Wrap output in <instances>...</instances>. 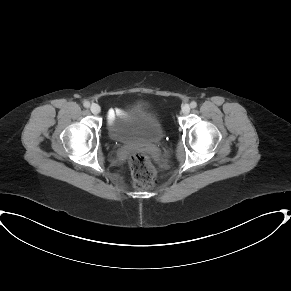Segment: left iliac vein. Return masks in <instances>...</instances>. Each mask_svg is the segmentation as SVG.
Returning a JSON list of instances; mask_svg holds the SVG:
<instances>
[{
	"label": "left iliac vein",
	"mask_w": 291,
	"mask_h": 291,
	"mask_svg": "<svg viewBox=\"0 0 291 291\" xmlns=\"http://www.w3.org/2000/svg\"><path fill=\"white\" fill-rule=\"evenodd\" d=\"M190 112V106L188 104H185L183 107H182V113L183 114H188Z\"/></svg>",
	"instance_id": "obj_1"
}]
</instances>
